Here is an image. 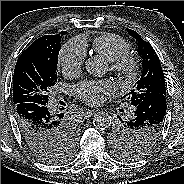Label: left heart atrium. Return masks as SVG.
Listing matches in <instances>:
<instances>
[{
	"instance_id": "obj_1",
	"label": "left heart atrium",
	"mask_w": 184,
	"mask_h": 184,
	"mask_svg": "<svg viewBox=\"0 0 184 184\" xmlns=\"http://www.w3.org/2000/svg\"><path fill=\"white\" fill-rule=\"evenodd\" d=\"M114 91V83L107 79L83 81L73 87L74 94L89 105L99 104L103 99V94H111Z\"/></svg>"
}]
</instances>
